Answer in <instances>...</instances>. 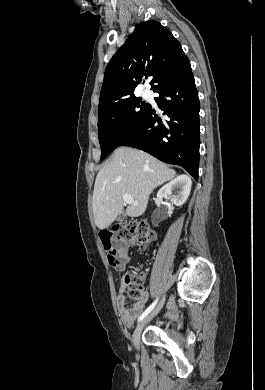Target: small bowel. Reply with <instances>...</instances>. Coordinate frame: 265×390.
Segmentation results:
<instances>
[{"mask_svg":"<svg viewBox=\"0 0 265 390\" xmlns=\"http://www.w3.org/2000/svg\"><path fill=\"white\" fill-rule=\"evenodd\" d=\"M125 291H126V283L125 279L120 283L118 288V297H117V308L122 322L130 327L139 314L143 311L147 301L148 294L145 293L143 297L134 303L130 308L126 306L125 301Z\"/></svg>","mask_w":265,"mask_h":390,"instance_id":"1","label":"small bowel"}]
</instances>
